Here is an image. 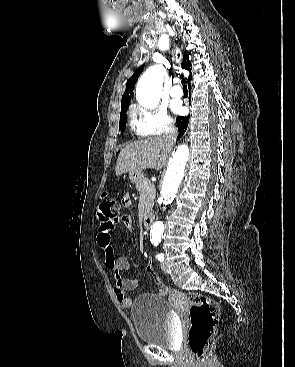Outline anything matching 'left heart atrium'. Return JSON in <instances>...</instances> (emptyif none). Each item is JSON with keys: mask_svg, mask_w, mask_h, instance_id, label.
I'll list each match as a JSON object with an SVG mask.
<instances>
[{"mask_svg": "<svg viewBox=\"0 0 295 367\" xmlns=\"http://www.w3.org/2000/svg\"><path fill=\"white\" fill-rule=\"evenodd\" d=\"M173 110L176 112V113H180L182 111V107L179 105V104H175L173 106Z\"/></svg>", "mask_w": 295, "mask_h": 367, "instance_id": "1", "label": "left heart atrium"}]
</instances>
